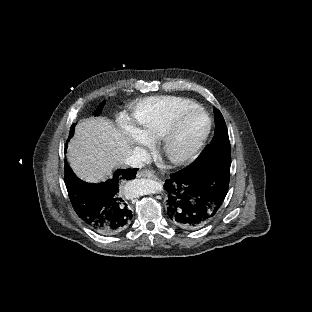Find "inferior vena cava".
Here are the masks:
<instances>
[{
  "label": "inferior vena cava",
  "mask_w": 312,
  "mask_h": 312,
  "mask_svg": "<svg viewBox=\"0 0 312 312\" xmlns=\"http://www.w3.org/2000/svg\"><path fill=\"white\" fill-rule=\"evenodd\" d=\"M151 160L150 154L143 148H135L132 154H128L123 161V164L133 168H142Z\"/></svg>",
  "instance_id": "inferior-vena-cava-1"
}]
</instances>
